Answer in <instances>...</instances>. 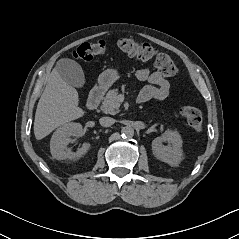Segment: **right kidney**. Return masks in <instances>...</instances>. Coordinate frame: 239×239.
Instances as JSON below:
<instances>
[{"label": "right kidney", "mask_w": 239, "mask_h": 239, "mask_svg": "<svg viewBox=\"0 0 239 239\" xmlns=\"http://www.w3.org/2000/svg\"><path fill=\"white\" fill-rule=\"evenodd\" d=\"M82 133V125L80 123H67L59 127L52 135L50 141V152L57 160L80 158L90 148V143L85 142L77 151L72 152L67 145L72 141L71 136H79Z\"/></svg>", "instance_id": "obj_1"}]
</instances>
